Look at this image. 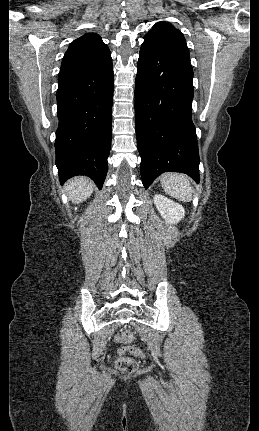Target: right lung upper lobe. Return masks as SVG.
Masks as SVG:
<instances>
[{
  "label": "right lung upper lobe",
  "mask_w": 259,
  "mask_h": 431,
  "mask_svg": "<svg viewBox=\"0 0 259 431\" xmlns=\"http://www.w3.org/2000/svg\"><path fill=\"white\" fill-rule=\"evenodd\" d=\"M112 65L110 50L101 37L89 33L74 40L62 60L58 80L99 71Z\"/></svg>",
  "instance_id": "1"
}]
</instances>
